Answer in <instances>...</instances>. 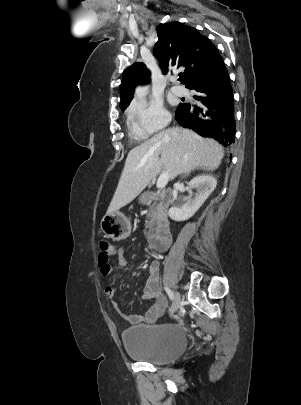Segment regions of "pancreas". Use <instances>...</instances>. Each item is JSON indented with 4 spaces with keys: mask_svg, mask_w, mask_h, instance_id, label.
<instances>
[{
    "mask_svg": "<svg viewBox=\"0 0 301 405\" xmlns=\"http://www.w3.org/2000/svg\"><path fill=\"white\" fill-rule=\"evenodd\" d=\"M140 202L149 206L148 218L146 221V229L151 232L154 229L155 222L157 220L158 212L160 210L159 205L155 202V196L151 192H145L140 196ZM154 202L152 205L151 203Z\"/></svg>",
    "mask_w": 301,
    "mask_h": 405,
    "instance_id": "cf45deb5",
    "label": "pancreas"
}]
</instances>
